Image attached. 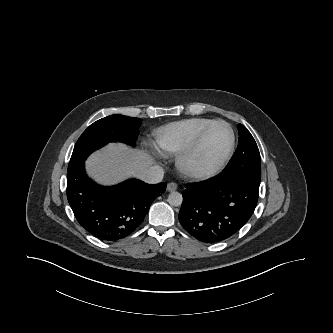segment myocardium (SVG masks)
Returning <instances> with one entry per match:
<instances>
[{"instance_id":"1","label":"myocardium","mask_w":333,"mask_h":333,"mask_svg":"<svg viewBox=\"0 0 333 333\" xmlns=\"http://www.w3.org/2000/svg\"><path fill=\"white\" fill-rule=\"evenodd\" d=\"M217 124H222L227 127V129L230 132V145L223 156V158L220 160V162L215 165L214 167L207 169V170H201L196 168L192 164V159L195 156V154L198 152L200 149L206 135L210 131V129L217 125ZM235 133L234 130L232 129L231 125L224 121V120H214L210 124H208L206 127H204L200 133L197 135V137L194 139V141L185 149L183 150L180 155L177 158V165L179 169L186 174L187 176L197 178V179H208L213 176H216L218 173H220L224 167L227 165L229 162L230 158L233 155L234 148H235Z\"/></svg>"}]
</instances>
